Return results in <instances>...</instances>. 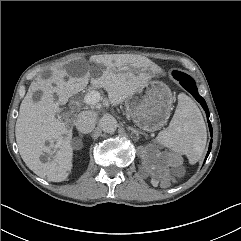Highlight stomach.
Wrapping results in <instances>:
<instances>
[{
  "instance_id": "0dacf381",
  "label": "stomach",
  "mask_w": 241,
  "mask_h": 241,
  "mask_svg": "<svg viewBox=\"0 0 241 241\" xmlns=\"http://www.w3.org/2000/svg\"><path fill=\"white\" fill-rule=\"evenodd\" d=\"M174 98L162 81L149 80L125 100L133 122L142 130L156 131L168 121Z\"/></svg>"
}]
</instances>
